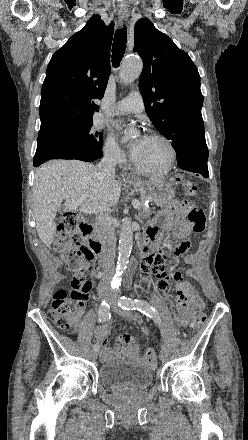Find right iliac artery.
Segmentation results:
<instances>
[{"instance_id": "right-iliac-artery-1", "label": "right iliac artery", "mask_w": 248, "mask_h": 440, "mask_svg": "<svg viewBox=\"0 0 248 440\" xmlns=\"http://www.w3.org/2000/svg\"><path fill=\"white\" fill-rule=\"evenodd\" d=\"M98 316H99V321L100 322H105V321H108L110 319V316H111L110 306H109V304L105 300L102 301V303L99 306ZM93 349L96 350V351L99 350V345L94 344L93 345Z\"/></svg>"}]
</instances>
